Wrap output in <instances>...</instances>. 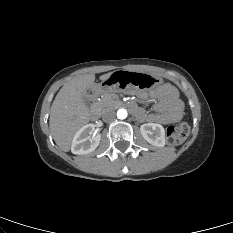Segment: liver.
Masks as SVG:
<instances>
[{"label":"liver","mask_w":233,"mask_h":233,"mask_svg":"<svg viewBox=\"0 0 233 233\" xmlns=\"http://www.w3.org/2000/svg\"><path fill=\"white\" fill-rule=\"evenodd\" d=\"M112 72L101 75L106 81ZM95 75L84 74L67 81L56 95L50 111L49 127L55 143L64 152L70 150L76 132L90 120V112L83 96L94 86Z\"/></svg>","instance_id":"1"}]
</instances>
